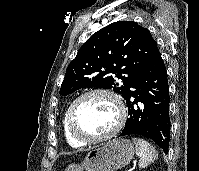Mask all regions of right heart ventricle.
Wrapping results in <instances>:
<instances>
[{
  "instance_id": "1",
  "label": "right heart ventricle",
  "mask_w": 199,
  "mask_h": 171,
  "mask_svg": "<svg viewBox=\"0 0 199 171\" xmlns=\"http://www.w3.org/2000/svg\"><path fill=\"white\" fill-rule=\"evenodd\" d=\"M67 111L65 112V114L63 116V120H62V128H63L64 137H65L67 143L70 146H72V147H81V146L85 145V143H83V142L77 140L76 138H74L72 136V134L70 133V130L68 128Z\"/></svg>"
}]
</instances>
